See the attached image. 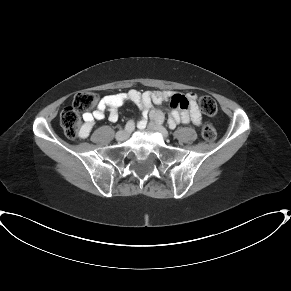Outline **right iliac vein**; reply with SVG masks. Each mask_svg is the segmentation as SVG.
<instances>
[{
  "instance_id": "63e3f726",
  "label": "right iliac vein",
  "mask_w": 291,
  "mask_h": 291,
  "mask_svg": "<svg viewBox=\"0 0 291 291\" xmlns=\"http://www.w3.org/2000/svg\"><path fill=\"white\" fill-rule=\"evenodd\" d=\"M128 136H129V134H128V132L126 130H120L116 134V139L118 141H124V140H126L128 138Z\"/></svg>"
}]
</instances>
